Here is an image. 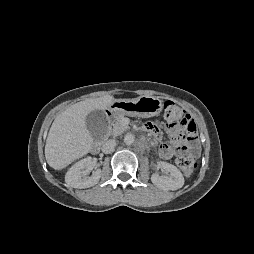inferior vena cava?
Segmentation results:
<instances>
[{
	"label": "inferior vena cava",
	"instance_id": "1",
	"mask_svg": "<svg viewBox=\"0 0 254 254\" xmlns=\"http://www.w3.org/2000/svg\"><path fill=\"white\" fill-rule=\"evenodd\" d=\"M116 146V141L114 139L107 140L102 145V152L103 153H111Z\"/></svg>",
	"mask_w": 254,
	"mask_h": 254
}]
</instances>
